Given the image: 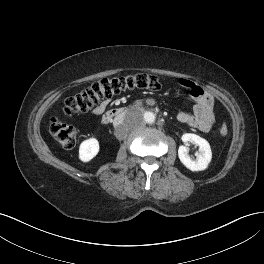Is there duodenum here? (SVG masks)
<instances>
[{
  "instance_id": "410a0bca",
  "label": "duodenum",
  "mask_w": 264,
  "mask_h": 264,
  "mask_svg": "<svg viewBox=\"0 0 264 264\" xmlns=\"http://www.w3.org/2000/svg\"><path fill=\"white\" fill-rule=\"evenodd\" d=\"M126 109L124 107H114L109 109L102 118L103 123H108L112 121L116 116H121L125 114Z\"/></svg>"
}]
</instances>
